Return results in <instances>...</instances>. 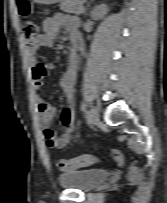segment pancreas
I'll list each match as a JSON object with an SVG mask.
<instances>
[{"instance_id": "pancreas-1", "label": "pancreas", "mask_w": 167, "mask_h": 203, "mask_svg": "<svg viewBox=\"0 0 167 203\" xmlns=\"http://www.w3.org/2000/svg\"><path fill=\"white\" fill-rule=\"evenodd\" d=\"M85 0H63L60 9L66 13L79 14L84 11Z\"/></svg>"}]
</instances>
